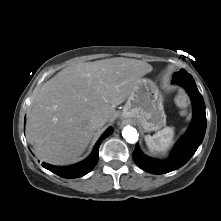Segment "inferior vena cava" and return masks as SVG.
<instances>
[{
	"mask_svg": "<svg viewBox=\"0 0 221 221\" xmlns=\"http://www.w3.org/2000/svg\"><path fill=\"white\" fill-rule=\"evenodd\" d=\"M106 122V119L101 116H95L91 119V124L94 128L102 127Z\"/></svg>",
	"mask_w": 221,
	"mask_h": 221,
	"instance_id": "obj_1",
	"label": "inferior vena cava"
}]
</instances>
